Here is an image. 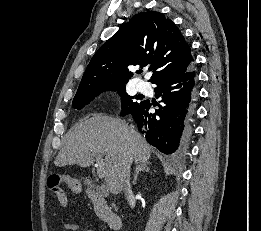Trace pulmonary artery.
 <instances>
[{
    "mask_svg": "<svg viewBox=\"0 0 261 231\" xmlns=\"http://www.w3.org/2000/svg\"><path fill=\"white\" fill-rule=\"evenodd\" d=\"M139 87H140V89H141L142 91L145 90V87H144L143 83H139Z\"/></svg>",
    "mask_w": 261,
    "mask_h": 231,
    "instance_id": "pulmonary-artery-1",
    "label": "pulmonary artery"
}]
</instances>
